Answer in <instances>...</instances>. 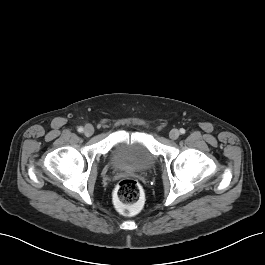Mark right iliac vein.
<instances>
[{"label":"right iliac vein","instance_id":"right-iliac-vein-1","mask_svg":"<svg viewBox=\"0 0 265 265\" xmlns=\"http://www.w3.org/2000/svg\"><path fill=\"white\" fill-rule=\"evenodd\" d=\"M94 133V128L92 125L88 124L84 128V134L86 136H91Z\"/></svg>","mask_w":265,"mask_h":265}]
</instances>
